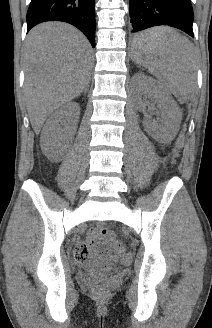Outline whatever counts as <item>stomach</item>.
<instances>
[{
	"mask_svg": "<svg viewBox=\"0 0 212 328\" xmlns=\"http://www.w3.org/2000/svg\"><path fill=\"white\" fill-rule=\"evenodd\" d=\"M134 55L136 56V55H139L140 57H143V56H147V57H149V56H151V55H154V52L153 51H151V52H137L136 50H135V48H134Z\"/></svg>",
	"mask_w": 212,
	"mask_h": 328,
	"instance_id": "1",
	"label": "stomach"
}]
</instances>
